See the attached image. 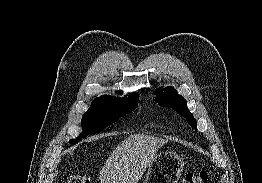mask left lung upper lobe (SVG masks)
Wrapping results in <instances>:
<instances>
[{
  "instance_id": "1",
  "label": "left lung upper lobe",
  "mask_w": 262,
  "mask_h": 183,
  "mask_svg": "<svg viewBox=\"0 0 262 183\" xmlns=\"http://www.w3.org/2000/svg\"><path fill=\"white\" fill-rule=\"evenodd\" d=\"M153 94L156 96L155 101L160 106L175 109L180 115L186 118L193 128H196V120L189 112L186 100L181 95L176 94V90L173 87H166L163 91L159 88Z\"/></svg>"
}]
</instances>
